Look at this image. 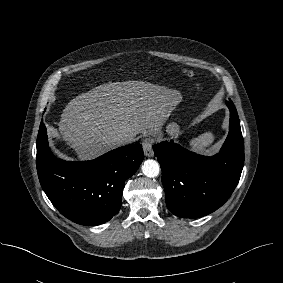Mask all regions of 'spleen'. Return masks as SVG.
I'll list each match as a JSON object with an SVG mask.
<instances>
[{"mask_svg":"<svg viewBox=\"0 0 283 283\" xmlns=\"http://www.w3.org/2000/svg\"><path fill=\"white\" fill-rule=\"evenodd\" d=\"M214 134L212 132H205L198 137L190 141V146L195 150H204V147L208 146L214 141Z\"/></svg>","mask_w":283,"mask_h":283,"instance_id":"3e777b00","label":"spleen"}]
</instances>
